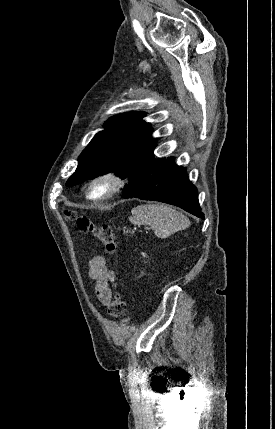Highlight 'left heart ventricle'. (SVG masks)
<instances>
[{
    "label": "left heart ventricle",
    "instance_id": "b2bd125f",
    "mask_svg": "<svg viewBox=\"0 0 275 429\" xmlns=\"http://www.w3.org/2000/svg\"><path fill=\"white\" fill-rule=\"evenodd\" d=\"M106 189H107V184L99 183L93 188L92 194L94 196H100L106 191Z\"/></svg>",
    "mask_w": 275,
    "mask_h": 429
}]
</instances>
